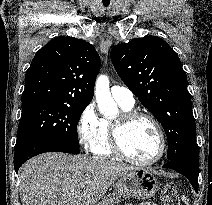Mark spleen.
<instances>
[{"mask_svg": "<svg viewBox=\"0 0 212 205\" xmlns=\"http://www.w3.org/2000/svg\"><path fill=\"white\" fill-rule=\"evenodd\" d=\"M182 199L185 202V204L188 205V199L184 195L182 196Z\"/></svg>", "mask_w": 212, "mask_h": 205, "instance_id": "1", "label": "spleen"}]
</instances>
